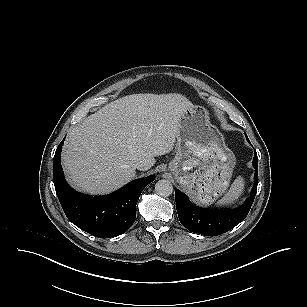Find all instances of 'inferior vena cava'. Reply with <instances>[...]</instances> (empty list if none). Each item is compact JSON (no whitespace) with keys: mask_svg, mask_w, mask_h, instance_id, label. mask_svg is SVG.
<instances>
[{"mask_svg":"<svg viewBox=\"0 0 307 307\" xmlns=\"http://www.w3.org/2000/svg\"><path fill=\"white\" fill-rule=\"evenodd\" d=\"M134 167L138 170H147L148 166L143 161H136Z\"/></svg>","mask_w":307,"mask_h":307,"instance_id":"1","label":"inferior vena cava"}]
</instances>
